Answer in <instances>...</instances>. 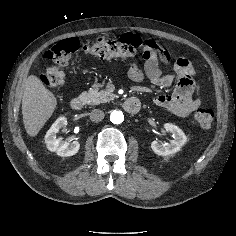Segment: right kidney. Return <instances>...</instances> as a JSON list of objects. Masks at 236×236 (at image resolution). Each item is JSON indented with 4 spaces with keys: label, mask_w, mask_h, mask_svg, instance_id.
Here are the masks:
<instances>
[{
    "label": "right kidney",
    "mask_w": 236,
    "mask_h": 236,
    "mask_svg": "<svg viewBox=\"0 0 236 236\" xmlns=\"http://www.w3.org/2000/svg\"><path fill=\"white\" fill-rule=\"evenodd\" d=\"M66 125L67 119L65 117H59L45 135L47 149L51 152H55L61 157L73 156L78 153L80 148V144L77 141L70 143L69 141H63L60 138H56L58 131Z\"/></svg>",
    "instance_id": "ca27d5eb"
}]
</instances>
